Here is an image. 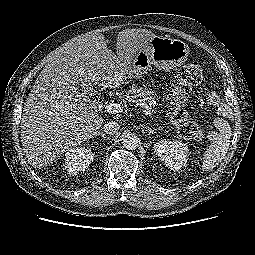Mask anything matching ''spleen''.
<instances>
[{"instance_id": "3e777b00", "label": "spleen", "mask_w": 255, "mask_h": 255, "mask_svg": "<svg viewBox=\"0 0 255 255\" xmlns=\"http://www.w3.org/2000/svg\"><path fill=\"white\" fill-rule=\"evenodd\" d=\"M217 128L220 131L217 139L203 155L202 169L205 171L212 170L222 161L230 145L232 133L229 123L223 119H219Z\"/></svg>"}]
</instances>
